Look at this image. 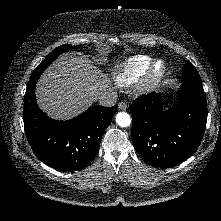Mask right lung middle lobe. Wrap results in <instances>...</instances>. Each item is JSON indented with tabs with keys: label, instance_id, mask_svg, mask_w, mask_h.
I'll return each mask as SVG.
<instances>
[{
	"label": "right lung middle lobe",
	"instance_id": "right-lung-middle-lobe-1",
	"mask_svg": "<svg viewBox=\"0 0 221 221\" xmlns=\"http://www.w3.org/2000/svg\"><path fill=\"white\" fill-rule=\"evenodd\" d=\"M74 48L70 44H65L60 47H57L54 51H52L33 71V74L30 78L28 85L37 82L43 71L49 66L53 60H55L61 52H65L67 49Z\"/></svg>",
	"mask_w": 221,
	"mask_h": 221
}]
</instances>
